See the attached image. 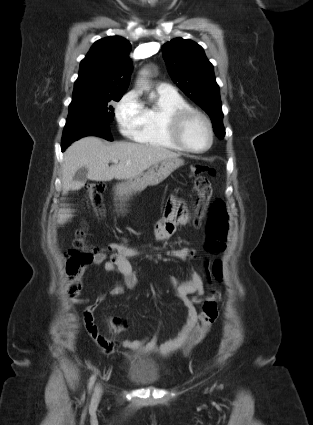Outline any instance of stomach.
Returning <instances> with one entry per match:
<instances>
[{
	"instance_id": "obj_1",
	"label": "stomach",
	"mask_w": 313,
	"mask_h": 425,
	"mask_svg": "<svg viewBox=\"0 0 313 425\" xmlns=\"http://www.w3.org/2000/svg\"><path fill=\"white\" fill-rule=\"evenodd\" d=\"M183 164L184 161L179 158L160 161L153 165L146 173L139 174L117 184V195L120 198H125L134 193L143 191L147 186H156Z\"/></svg>"
}]
</instances>
